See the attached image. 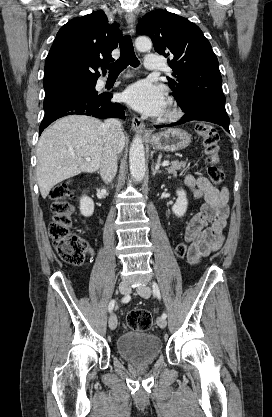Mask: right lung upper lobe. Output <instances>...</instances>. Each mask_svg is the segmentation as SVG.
<instances>
[{
    "instance_id": "cb5924a9",
    "label": "right lung upper lobe",
    "mask_w": 272,
    "mask_h": 417,
    "mask_svg": "<svg viewBox=\"0 0 272 417\" xmlns=\"http://www.w3.org/2000/svg\"><path fill=\"white\" fill-rule=\"evenodd\" d=\"M102 11L70 20L58 31L46 58L44 89L97 81L98 69L114 59L121 31Z\"/></svg>"
}]
</instances>
